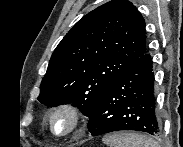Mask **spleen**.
<instances>
[{
    "mask_svg": "<svg viewBox=\"0 0 183 147\" xmlns=\"http://www.w3.org/2000/svg\"><path fill=\"white\" fill-rule=\"evenodd\" d=\"M109 147H159L153 139L134 132H117L103 137Z\"/></svg>",
    "mask_w": 183,
    "mask_h": 147,
    "instance_id": "3e777b00",
    "label": "spleen"
}]
</instances>
